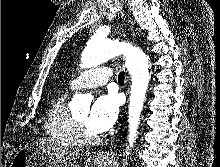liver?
Wrapping results in <instances>:
<instances>
[{
  "instance_id": "6515ba94",
  "label": "liver",
  "mask_w": 220,
  "mask_h": 167,
  "mask_svg": "<svg viewBox=\"0 0 220 167\" xmlns=\"http://www.w3.org/2000/svg\"><path fill=\"white\" fill-rule=\"evenodd\" d=\"M32 146L40 149L49 158L57 160L59 162L74 160L79 156V150L69 147H63L55 144L53 140L38 138Z\"/></svg>"
}]
</instances>
